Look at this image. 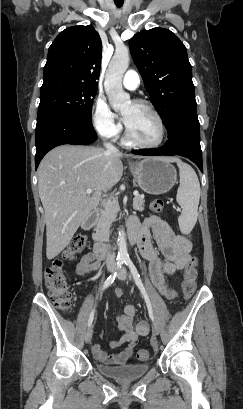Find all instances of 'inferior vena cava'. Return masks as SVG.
<instances>
[{"label":"inferior vena cava","instance_id":"inferior-vena-cava-1","mask_svg":"<svg viewBox=\"0 0 243 409\" xmlns=\"http://www.w3.org/2000/svg\"><path fill=\"white\" fill-rule=\"evenodd\" d=\"M105 148L107 149V151L109 152H117L118 150L116 149V147L111 144V143H104ZM106 263L108 265H112L115 263V254L114 253H110L108 254L107 258H106Z\"/></svg>","mask_w":243,"mask_h":409}]
</instances>
